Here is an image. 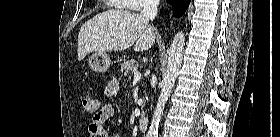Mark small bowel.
Returning <instances> with one entry per match:
<instances>
[{"label":"small bowel","instance_id":"obj_1","mask_svg":"<svg viewBox=\"0 0 280 137\" xmlns=\"http://www.w3.org/2000/svg\"><path fill=\"white\" fill-rule=\"evenodd\" d=\"M119 91V82L116 78L109 80L105 87V92L108 95H114ZM114 107L112 104L102 106L99 112L93 116L92 121L88 125V130L91 137H108L105 129V122L112 117ZM95 135V136H93Z\"/></svg>","mask_w":280,"mask_h":137}]
</instances>
